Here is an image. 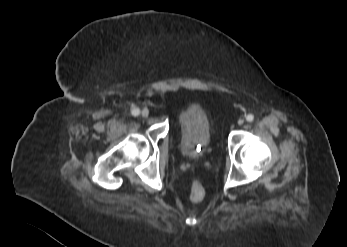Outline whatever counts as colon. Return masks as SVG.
Segmentation results:
<instances>
[{"label": "colon", "instance_id": "colon-1", "mask_svg": "<svg viewBox=\"0 0 347 247\" xmlns=\"http://www.w3.org/2000/svg\"><path fill=\"white\" fill-rule=\"evenodd\" d=\"M189 197L193 202H200L205 197V189L199 181H195L190 188Z\"/></svg>", "mask_w": 347, "mask_h": 247}]
</instances>
